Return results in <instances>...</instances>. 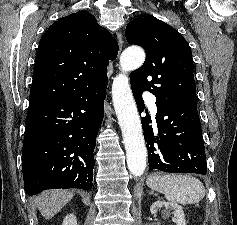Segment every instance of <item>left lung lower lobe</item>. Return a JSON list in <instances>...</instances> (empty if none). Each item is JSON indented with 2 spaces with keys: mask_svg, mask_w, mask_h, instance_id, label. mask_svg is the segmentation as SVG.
<instances>
[{
  "mask_svg": "<svg viewBox=\"0 0 237 225\" xmlns=\"http://www.w3.org/2000/svg\"><path fill=\"white\" fill-rule=\"evenodd\" d=\"M140 113L145 109L142 90L132 86ZM157 127L150 116L142 119L149 169L170 173L206 175L207 164L196 102L167 103L156 100Z\"/></svg>",
  "mask_w": 237,
  "mask_h": 225,
  "instance_id": "obj_1",
  "label": "left lung lower lobe"
}]
</instances>
